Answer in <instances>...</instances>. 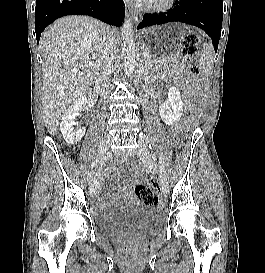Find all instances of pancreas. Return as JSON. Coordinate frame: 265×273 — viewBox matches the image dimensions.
Instances as JSON below:
<instances>
[{
	"mask_svg": "<svg viewBox=\"0 0 265 273\" xmlns=\"http://www.w3.org/2000/svg\"><path fill=\"white\" fill-rule=\"evenodd\" d=\"M148 55H149V57H147L145 59V64L148 67H152L154 64H157V63H159L161 65H168L171 62V60L169 58L157 59V58H154L149 53H148Z\"/></svg>",
	"mask_w": 265,
	"mask_h": 273,
	"instance_id": "pancreas-1",
	"label": "pancreas"
}]
</instances>
